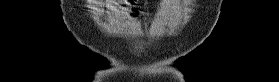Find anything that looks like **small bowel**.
<instances>
[{
  "mask_svg": "<svg viewBox=\"0 0 279 82\" xmlns=\"http://www.w3.org/2000/svg\"><path fill=\"white\" fill-rule=\"evenodd\" d=\"M134 2L133 1H127V0H122V1H110V0H105V1H93V5L95 7H103V8H107V9H113L116 7H124V6H131L133 5Z\"/></svg>",
  "mask_w": 279,
  "mask_h": 82,
  "instance_id": "obj_1",
  "label": "small bowel"
}]
</instances>
